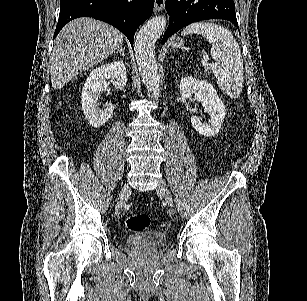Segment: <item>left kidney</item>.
Segmentation results:
<instances>
[{
  "label": "left kidney",
  "instance_id": "obj_1",
  "mask_svg": "<svg viewBox=\"0 0 307 301\" xmlns=\"http://www.w3.org/2000/svg\"><path fill=\"white\" fill-rule=\"evenodd\" d=\"M179 92L181 96H186V98L194 94V98L202 102L205 112L210 114L209 122H201L200 118L194 114L190 116L191 124L195 130L204 136H215L225 118L226 108L211 82L201 80V78H193V76H183L179 84Z\"/></svg>",
  "mask_w": 307,
  "mask_h": 301
}]
</instances>
